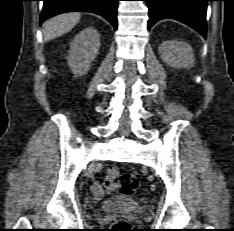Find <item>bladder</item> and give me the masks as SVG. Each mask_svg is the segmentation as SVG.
Instances as JSON below:
<instances>
[{"label":"bladder","instance_id":"obj_1","mask_svg":"<svg viewBox=\"0 0 234 231\" xmlns=\"http://www.w3.org/2000/svg\"><path fill=\"white\" fill-rule=\"evenodd\" d=\"M103 211L126 210V211H142L143 204L134 199L116 197L105 201L101 205Z\"/></svg>","mask_w":234,"mask_h":231}]
</instances>
